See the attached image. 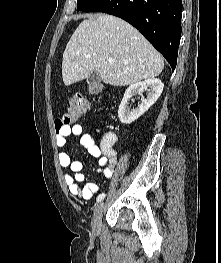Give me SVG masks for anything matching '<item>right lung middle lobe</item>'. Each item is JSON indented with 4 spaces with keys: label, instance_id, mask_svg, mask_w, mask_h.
<instances>
[{
    "label": "right lung middle lobe",
    "instance_id": "dd1d6c3e",
    "mask_svg": "<svg viewBox=\"0 0 221 263\" xmlns=\"http://www.w3.org/2000/svg\"><path fill=\"white\" fill-rule=\"evenodd\" d=\"M104 0H77V11H93Z\"/></svg>",
    "mask_w": 221,
    "mask_h": 263
}]
</instances>
